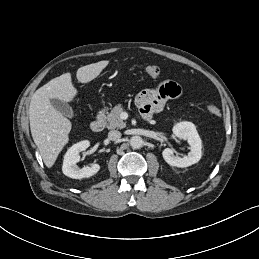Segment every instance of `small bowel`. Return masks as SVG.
Returning a JSON list of instances; mask_svg holds the SVG:
<instances>
[{"label":"small bowel","mask_w":259,"mask_h":259,"mask_svg":"<svg viewBox=\"0 0 259 259\" xmlns=\"http://www.w3.org/2000/svg\"><path fill=\"white\" fill-rule=\"evenodd\" d=\"M181 94V87L172 80H165L156 87L141 91L136 104L145 118L161 112L167 103Z\"/></svg>","instance_id":"obj_1"}]
</instances>
